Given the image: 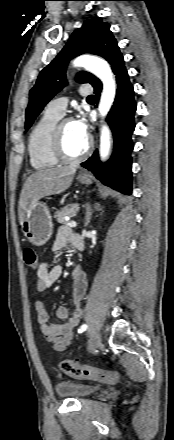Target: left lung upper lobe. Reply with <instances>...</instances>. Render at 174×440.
Masks as SVG:
<instances>
[{
  "label": "left lung upper lobe",
  "instance_id": "5c2ea615",
  "mask_svg": "<svg viewBox=\"0 0 174 440\" xmlns=\"http://www.w3.org/2000/svg\"><path fill=\"white\" fill-rule=\"evenodd\" d=\"M83 53L97 54L108 62L120 53L110 25L103 23L102 18L85 20L83 26L73 32L57 57L40 72L36 84L30 91V101L26 109V129L30 128L44 106L66 85L65 70L69 60ZM76 79L92 86L98 81V78L88 72H80Z\"/></svg>",
  "mask_w": 174,
  "mask_h": 440
}]
</instances>
